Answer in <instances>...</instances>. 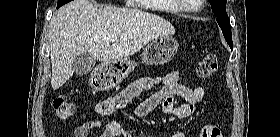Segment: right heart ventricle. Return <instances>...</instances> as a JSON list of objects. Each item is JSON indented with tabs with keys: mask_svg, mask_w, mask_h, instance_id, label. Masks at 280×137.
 I'll list each match as a JSON object with an SVG mask.
<instances>
[{
	"mask_svg": "<svg viewBox=\"0 0 280 137\" xmlns=\"http://www.w3.org/2000/svg\"><path fill=\"white\" fill-rule=\"evenodd\" d=\"M167 11L166 13L168 14H177L179 12H181L177 7L175 6H165L164 7Z\"/></svg>",
	"mask_w": 280,
	"mask_h": 137,
	"instance_id": "right-heart-ventricle-1",
	"label": "right heart ventricle"
}]
</instances>
